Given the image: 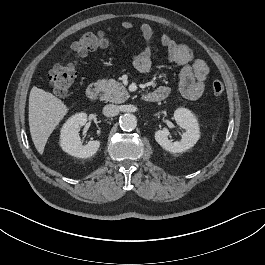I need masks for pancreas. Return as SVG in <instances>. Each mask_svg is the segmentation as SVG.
<instances>
[{"label": "pancreas", "mask_w": 265, "mask_h": 265, "mask_svg": "<svg viewBox=\"0 0 265 265\" xmlns=\"http://www.w3.org/2000/svg\"><path fill=\"white\" fill-rule=\"evenodd\" d=\"M97 85L100 87L103 94L100 99L112 103H123L129 97L126 88L114 79L99 80Z\"/></svg>", "instance_id": "pancreas-1"}]
</instances>
